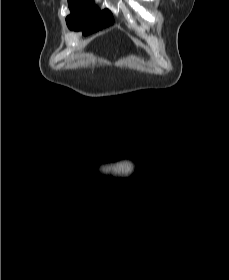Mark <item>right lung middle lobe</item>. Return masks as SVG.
Listing matches in <instances>:
<instances>
[{
	"label": "right lung middle lobe",
	"instance_id": "dd1d6c3e",
	"mask_svg": "<svg viewBox=\"0 0 229 280\" xmlns=\"http://www.w3.org/2000/svg\"><path fill=\"white\" fill-rule=\"evenodd\" d=\"M71 14L66 18L71 30H82L88 35L113 24L112 13L105 9L103 11L92 4V0H68Z\"/></svg>",
	"mask_w": 229,
	"mask_h": 280
}]
</instances>
